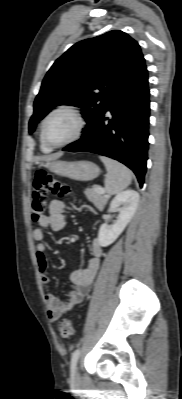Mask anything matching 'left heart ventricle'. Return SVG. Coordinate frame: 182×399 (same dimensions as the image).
<instances>
[{
    "label": "left heart ventricle",
    "instance_id": "1",
    "mask_svg": "<svg viewBox=\"0 0 182 399\" xmlns=\"http://www.w3.org/2000/svg\"><path fill=\"white\" fill-rule=\"evenodd\" d=\"M77 121L73 115L60 112L52 116L46 125V137L52 143H61L75 132Z\"/></svg>",
    "mask_w": 182,
    "mask_h": 399
}]
</instances>
